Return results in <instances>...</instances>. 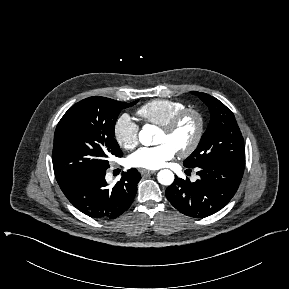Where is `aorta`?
<instances>
[{"label": "aorta", "instance_id": "762f6f07", "mask_svg": "<svg viewBox=\"0 0 289 289\" xmlns=\"http://www.w3.org/2000/svg\"><path fill=\"white\" fill-rule=\"evenodd\" d=\"M152 125H145L139 133V140L144 146H149L152 143ZM158 182L162 185L169 186L174 181V174L168 169H164L158 172L157 174Z\"/></svg>", "mask_w": 289, "mask_h": 289}]
</instances>
